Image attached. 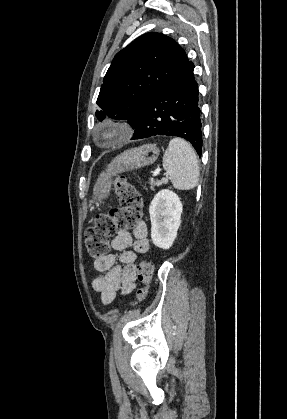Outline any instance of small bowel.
Listing matches in <instances>:
<instances>
[{
	"instance_id": "small-bowel-1",
	"label": "small bowel",
	"mask_w": 287,
	"mask_h": 419,
	"mask_svg": "<svg viewBox=\"0 0 287 419\" xmlns=\"http://www.w3.org/2000/svg\"><path fill=\"white\" fill-rule=\"evenodd\" d=\"M111 247L120 253V264H116L112 253L94 262L99 274L93 279V288L101 293L104 304H110L118 293L126 295L134 290L138 254L149 250L147 224L141 221L132 230H121L112 239Z\"/></svg>"
}]
</instances>
